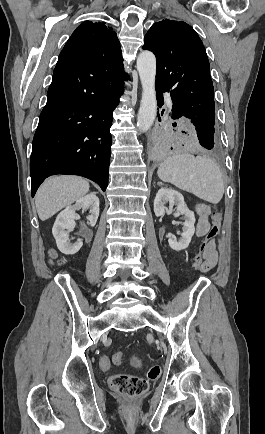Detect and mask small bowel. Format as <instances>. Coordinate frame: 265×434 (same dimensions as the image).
<instances>
[{"label": "small bowel", "instance_id": "obj_1", "mask_svg": "<svg viewBox=\"0 0 265 434\" xmlns=\"http://www.w3.org/2000/svg\"><path fill=\"white\" fill-rule=\"evenodd\" d=\"M195 212L198 216V221L196 224V236L197 237H204L211 225H210V221H209V217H210V207L205 204V203H198L195 206ZM204 260L205 262L208 264V266L210 267V270L213 269L216 264H217V260H218V254L216 251V246H215V241L210 242L205 251H204ZM209 268H204V273H209ZM136 366H138V363L135 362ZM111 366V361L108 359V365H107V369ZM106 370V369H104Z\"/></svg>", "mask_w": 265, "mask_h": 434}]
</instances>
